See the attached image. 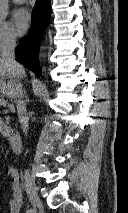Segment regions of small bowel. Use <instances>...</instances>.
<instances>
[{"mask_svg": "<svg viewBox=\"0 0 128 213\" xmlns=\"http://www.w3.org/2000/svg\"><path fill=\"white\" fill-rule=\"evenodd\" d=\"M5 177L10 181L12 196L7 204L9 213H19L21 210L22 190L19 183V174L15 167L6 166L3 170Z\"/></svg>", "mask_w": 128, "mask_h": 213, "instance_id": "1", "label": "small bowel"}]
</instances>
